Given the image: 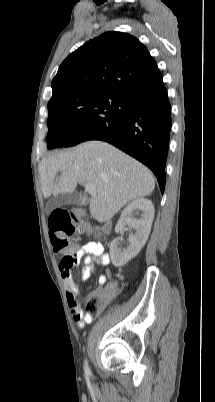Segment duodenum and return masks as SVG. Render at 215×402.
Listing matches in <instances>:
<instances>
[{
	"label": "duodenum",
	"instance_id": "1",
	"mask_svg": "<svg viewBox=\"0 0 215 402\" xmlns=\"http://www.w3.org/2000/svg\"><path fill=\"white\" fill-rule=\"evenodd\" d=\"M109 229H110V226L108 223L103 224L101 227L102 232L105 234L109 232Z\"/></svg>",
	"mask_w": 215,
	"mask_h": 402
}]
</instances>
